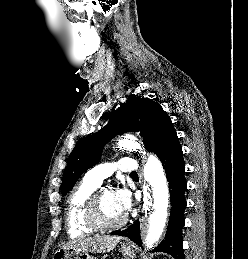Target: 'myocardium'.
<instances>
[{
  "label": "myocardium",
  "mask_w": 248,
  "mask_h": 259,
  "mask_svg": "<svg viewBox=\"0 0 248 259\" xmlns=\"http://www.w3.org/2000/svg\"><path fill=\"white\" fill-rule=\"evenodd\" d=\"M104 191H111V189L98 188L90 196L85 211L87 223L95 230H109L122 227L127 221V215H124L123 218L116 222H107L102 218L100 211V196Z\"/></svg>",
  "instance_id": "myocardium-1"
}]
</instances>
